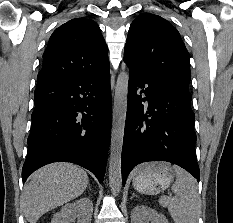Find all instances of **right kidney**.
Instances as JSON below:
<instances>
[{
	"mask_svg": "<svg viewBox=\"0 0 233 223\" xmlns=\"http://www.w3.org/2000/svg\"><path fill=\"white\" fill-rule=\"evenodd\" d=\"M93 203L89 197H81L73 203L62 205L61 211L54 213L51 223H66L69 217H77V223H91Z\"/></svg>",
	"mask_w": 233,
	"mask_h": 223,
	"instance_id": "right-kidney-1",
	"label": "right kidney"
}]
</instances>
